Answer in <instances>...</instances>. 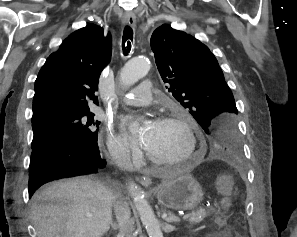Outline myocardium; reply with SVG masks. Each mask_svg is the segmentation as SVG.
<instances>
[{
    "instance_id": "myocardium-1",
    "label": "myocardium",
    "mask_w": 297,
    "mask_h": 237,
    "mask_svg": "<svg viewBox=\"0 0 297 237\" xmlns=\"http://www.w3.org/2000/svg\"><path fill=\"white\" fill-rule=\"evenodd\" d=\"M160 122H164V123H170V124H176L178 126H180L188 139V149L186 151V153L176 159H172V160H162L159 158H156L152 153H150L147 149L145 150V154L147 159L155 164V165H159V166H169V165H177V164H181L184 163L188 160H190L197 152L198 149V141H197V136L195 133V129L193 126V123L191 122V120L184 114L182 113H177V114H170V115H166L164 117H162L160 119Z\"/></svg>"
}]
</instances>
